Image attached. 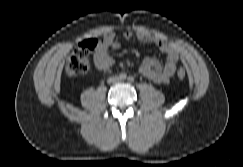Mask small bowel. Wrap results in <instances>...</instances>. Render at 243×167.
Instances as JSON below:
<instances>
[{"instance_id": "obj_1", "label": "small bowel", "mask_w": 243, "mask_h": 167, "mask_svg": "<svg viewBox=\"0 0 243 167\" xmlns=\"http://www.w3.org/2000/svg\"><path fill=\"white\" fill-rule=\"evenodd\" d=\"M124 38L135 36L142 43L150 44L166 55V62L161 64L153 57H147L140 66V73L149 80L158 84H167L175 74L179 60L178 53L174 46L155 38L145 32H125ZM121 46L116 34L112 31L105 33L100 41L95 54V65L99 70H107L113 64L109 56V48L119 49Z\"/></svg>"}]
</instances>
